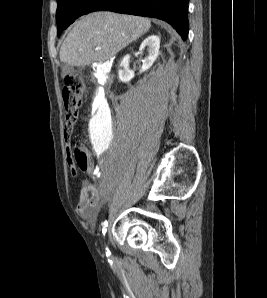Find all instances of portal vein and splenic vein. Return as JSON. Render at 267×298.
Wrapping results in <instances>:
<instances>
[{"label":"portal vein and splenic vein","mask_w":267,"mask_h":298,"mask_svg":"<svg viewBox=\"0 0 267 298\" xmlns=\"http://www.w3.org/2000/svg\"><path fill=\"white\" fill-rule=\"evenodd\" d=\"M100 49H101L100 47H97V48H96V50H100Z\"/></svg>","instance_id":"1"}]
</instances>
